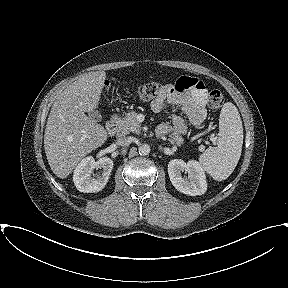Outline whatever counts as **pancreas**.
<instances>
[{
    "label": "pancreas",
    "instance_id": "obj_1",
    "mask_svg": "<svg viewBox=\"0 0 288 288\" xmlns=\"http://www.w3.org/2000/svg\"><path fill=\"white\" fill-rule=\"evenodd\" d=\"M136 117H137V113L134 111H131V112L127 113L125 115V117L118 118L116 120L117 135L123 136V135L129 134L130 132L139 134L141 124L137 121ZM169 141L172 144L180 146L183 144L184 139L182 138V136H180L179 133H174L173 135L170 136Z\"/></svg>",
    "mask_w": 288,
    "mask_h": 288
}]
</instances>
